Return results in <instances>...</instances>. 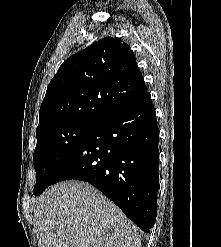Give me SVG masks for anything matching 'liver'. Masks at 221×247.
<instances>
[{"label": "liver", "instance_id": "obj_1", "mask_svg": "<svg viewBox=\"0 0 221 247\" xmlns=\"http://www.w3.org/2000/svg\"><path fill=\"white\" fill-rule=\"evenodd\" d=\"M39 247H140L137 227L92 185L64 181L36 201Z\"/></svg>", "mask_w": 221, "mask_h": 247}]
</instances>
